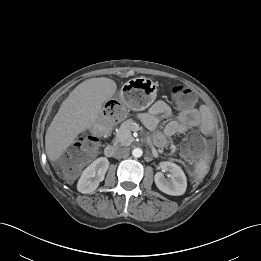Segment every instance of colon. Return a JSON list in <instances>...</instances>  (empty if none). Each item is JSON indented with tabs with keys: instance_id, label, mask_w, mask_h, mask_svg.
<instances>
[{
	"instance_id": "1",
	"label": "colon",
	"mask_w": 261,
	"mask_h": 261,
	"mask_svg": "<svg viewBox=\"0 0 261 261\" xmlns=\"http://www.w3.org/2000/svg\"><path fill=\"white\" fill-rule=\"evenodd\" d=\"M172 94L176 102L181 106L187 107L194 103V94L183 85H175L172 88ZM106 112L114 119H121L124 116L121 108L107 107ZM107 126V124H103L97 131L82 138L74 148L60 159V167L64 174L68 176L75 175L81 166L92 158L97 149L100 137L107 132ZM199 148L200 142L196 137L187 141L183 146L184 151L190 156L197 155Z\"/></svg>"
}]
</instances>
